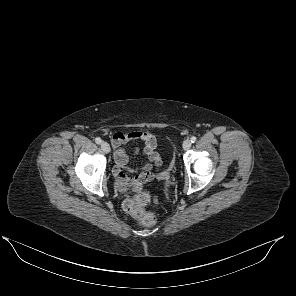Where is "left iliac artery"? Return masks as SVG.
Segmentation results:
<instances>
[{
    "mask_svg": "<svg viewBox=\"0 0 296 296\" xmlns=\"http://www.w3.org/2000/svg\"><path fill=\"white\" fill-rule=\"evenodd\" d=\"M196 139H197V138H196L195 136H192V137H191V142H192V143H195Z\"/></svg>",
    "mask_w": 296,
    "mask_h": 296,
    "instance_id": "44dca946",
    "label": "left iliac artery"
}]
</instances>
